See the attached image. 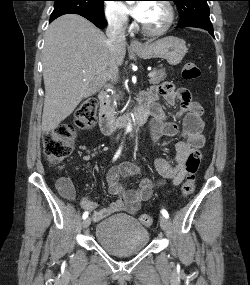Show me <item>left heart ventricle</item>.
<instances>
[{
    "label": "left heart ventricle",
    "mask_w": 250,
    "mask_h": 285,
    "mask_svg": "<svg viewBox=\"0 0 250 285\" xmlns=\"http://www.w3.org/2000/svg\"><path fill=\"white\" fill-rule=\"evenodd\" d=\"M167 20V11L159 3H150L142 24L149 29H159Z\"/></svg>",
    "instance_id": "left-heart-ventricle-1"
}]
</instances>
